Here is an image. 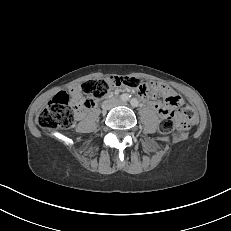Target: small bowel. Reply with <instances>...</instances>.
Wrapping results in <instances>:
<instances>
[{"mask_svg":"<svg viewBox=\"0 0 231 231\" xmlns=\"http://www.w3.org/2000/svg\"><path fill=\"white\" fill-rule=\"evenodd\" d=\"M154 94L161 93L166 97L165 103L157 102L154 100H151L149 97H146L148 106L158 112L160 116H164L167 114L170 110V107L172 105L180 104L182 102L181 98L167 85L165 84H157L154 85ZM119 89H116L115 92H118ZM72 96L76 99L82 98V92L81 87L78 85H75L71 88Z\"/></svg>","mask_w":231,"mask_h":231,"instance_id":"obj_1","label":"small bowel"}]
</instances>
